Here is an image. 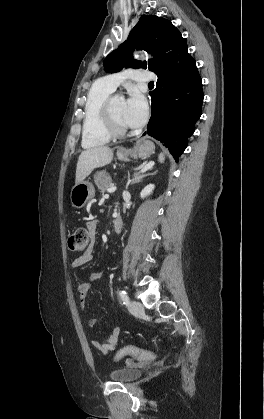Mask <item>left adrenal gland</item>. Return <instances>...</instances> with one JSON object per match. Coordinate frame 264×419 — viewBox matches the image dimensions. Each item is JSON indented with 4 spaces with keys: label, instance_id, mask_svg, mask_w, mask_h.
<instances>
[{
    "label": "left adrenal gland",
    "instance_id": "left-adrenal-gland-1",
    "mask_svg": "<svg viewBox=\"0 0 264 419\" xmlns=\"http://www.w3.org/2000/svg\"><path fill=\"white\" fill-rule=\"evenodd\" d=\"M145 166V163L144 164H142V166L141 167H144ZM156 174V172H152V173H137V174H135L134 175V177L132 178V180H131V185L132 184H135V183H137V182H140L141 180H143L145 177H147V176H151V175H155Z\"/></svg>",
    "mask_w": 264,
    "mask_h": 419
}]
</instances>
